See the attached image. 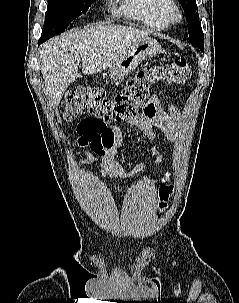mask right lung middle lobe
Returning a JSON list of instances; mask_svg holds the SVG:
<instances>
[{"mask_svg":"<svg viewBox=\"0 0 239 303\" xmlns=\"http://www.w3.org/2000/svg\"><path fill=\"white\" fill-rule=\"evenodd\" d=\"M95 0H48L42 35L49 38L65 31L72 20L85 14Z\"/></svg>","mask_w":239,"mask_h":303,"instance_id":"1","label":"right lung middle lobe"}]
</instances>
